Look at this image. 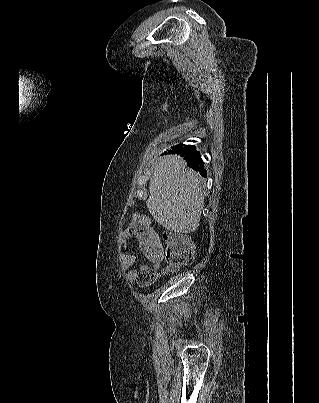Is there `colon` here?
Masks as SVG:
<instances>
[{
    "label": "colon",
    "instance_id": "colon-1",
    "mask_svg": "<svg viewBox=\"0 0 319 403\" xmlns=\"http://www.w3.org/2000/svg\"><path fill=\"white\" fill-rule=\"evenodd\" d=\"M130 228L139 240V247L153 264L164 259L167 270L176 271L194 261L195 244L187 235L169 231L163 233L161 239L152 229L149 218L143 214L136 215L132 219ZM158 275L157 270L142 271L138 275V282L142 287H147L157 279Z\"/></svg>",
    "mask_w": 319,
    "mask_h": 403
}]
</instances>
